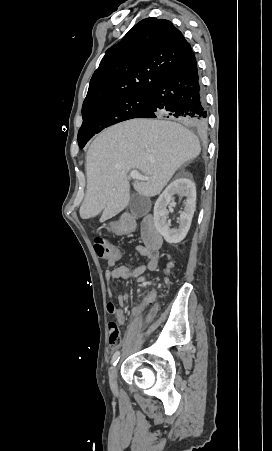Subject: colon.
Segmentation results:
<instances>
[{
    "label": "colon",
    "mask_w": 272,
    "mask_h": 451,
    "mask_svg": "<svg viewBox=\"0 0 272 451\" xmlns=\"http://www.w3.org/2000/svg\"><path fill=\"white\" fill-rule=\"evenodd\" d=\"M95 252L98 256L104 257L109 253V245L102 238H96L93 241ZM113 246V245H112ZM110 254L112 256H117L119 254V249L117 247H112L110 249ZM111 265L114 263L112 260L109 262ZM138 269L140 271H145L147 269V264L145 262H140L138 264ZM108 331V341L110 346L119 347V326L115 321H109L107 325Z\"/></svg>",
    "instance_id": "colon-1"
}]
</instances>
